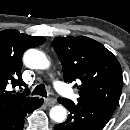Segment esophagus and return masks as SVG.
Masks as SVG:
<instances>
[{
  "mask_svg": "<svg viewBox=\"0 0 130 130\" xmlns=\"http://www.w3.org/2000/svg\"><path fill=\"white\" fill-rule=\"evenodd\" d=\"M44 102L47 106H53L56 103L54 98H45Z\"/></svg>",
  "mask_w": 130,
  "mask_h": 130,
  "instance_id": "obj_1",
  "label": "esophagus"
}]
</instances>
